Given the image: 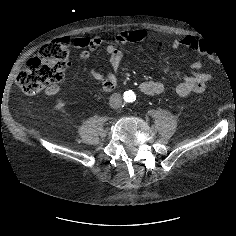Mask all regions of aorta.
Masks as SVG:
<instances>
[{
    "label": "aorta",
    "instance_id": "1",
    "mask_svg": "<svg viewBox=\"0 0 236 236\" xmlns=\"http://www.w3.org/2000/svg\"><path fill=\"white\" fill-rule=\"evenodd\" d=\"M133 93L131 91H127L124 93V98L126 101L131 102L133 101Z\"/></svg>",
    "mask_w": 236,
    "mask_h": 236
}]
</instances>
